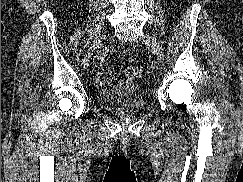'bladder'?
<instances>
[{"label": "bladder", "mask_w": 243, "mask_h": 182, "mask_svg": "<svg viewBox=\"0 0 243 182\" xmlns=\"http://www.w3.org/2000/svg\"><path fill=\"white\" fill-rule=\"evenodd\" d=\"M94 99L99 107L119 115H135L145 108L144 98L134 91L121 94L99 90L95 93Z\"/></svg>", "instance_id": "bladder-1"}]
</instances>
